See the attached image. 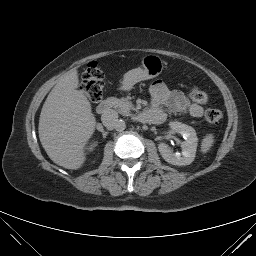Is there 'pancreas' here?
<instances>
[{
	"instance_id": "obj_1",
	"label": "pancreas",
	"mask_w": 256,
	"mask_h": 256,
	"mask_svg": "<svg viewBox=\"0 0 256 256\" xmlns=\"http://www.w3.org/2000/svg\"><path fill=\"white\" fill-rule=\"evenodd\" d=\"M110 101L112 102V106L117 109V111L122 114V115H126V116H129L131 115L130 114V110L131 109H135L133 104L131 103V101H129L128 99L126 98H121V99H118V98H115V97H112L110 99Z\"/></svg>"
}]
</instances>
